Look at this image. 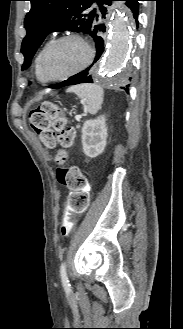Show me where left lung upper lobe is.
I'll return each mask as SVG.
<instances>
[{
	"label": "left lung upper lobe",
	"mask_w": 183,
	"mask_h": 329,
	"mask_svg": "<svg viewBox=\"0 0 183 329\" xmlns=\"http://www.w3.org/2000/svg\"><path fill=\"white\" fill-rule=\"evenodd\" d=\"M31 10L24 21L26 36L21 45V52L25 57L22 70L31 65L36 50L45 37L56 31H73L88 34L91 30L96 9L90 13L86 10L93 2L99 7L106 0H29Z\"/></svg>",
	"instance_id": "5c2ea615"
}]
</instances>
